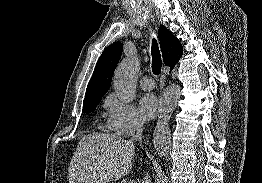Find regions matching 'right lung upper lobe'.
Returning <instances> with one entry per match:
<instances>
[{
    "label": "right lung upper lobe",
    "instance_id": "right-lung-upper-lobe-1",
    "mask_svg": "<svg viewBox=\"0 0 262 183\" xmlns=\"http://www.w3.org/2000/svg\"><path fill=\"white\" fill-rule=\"evenodd\" d=\"M160 48L166 66L173 68L183 54L179 40L163 25L158 31ZM123 44L113 43L104 49L90 79L84 101L102 99L108 91L114 70L120 60Z\"/></svg>",
    "mask_w": 262,
    "mask_h": 183
}]
</instances>
